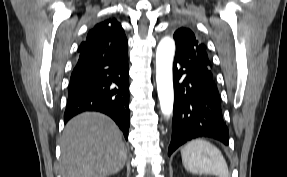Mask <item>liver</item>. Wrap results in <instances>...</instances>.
I'll use <instances>...</instances> for the list:
<instances>
[{
  "mask_svg": "<svg viewBox=\"0 0 287 177\" xmlns=\"http://www.w3.org/2000/svg\"><path fill=\"white\" fill-rule=\"evenodd\" d=\"M127 150L116 124L107 116L86 112L72 118L61 139L62 177H105L119 172Z\"/></svg>",
  "mask_w": 287,
  "mask_h": 177,
  "instance_id": "obj_1",
  "label": "liver"
}]
</instances>
